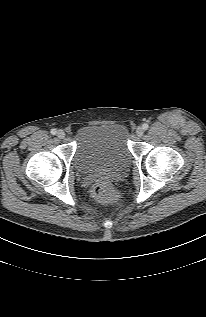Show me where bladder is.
<instances>
[{
  "mask_svg": "<svg viewBox=\"0 0 206 317\" xmlns=\"http://www.w3.org/2000/svg\"><path fill=\"white\" fill-rule=\"evenodd\" d=\"M128 136L121 124L80 127L75 134V169L82 175L125 169L131 160Z\"/></svg>",
  "mask_w": 206,
  "mask_h": 317,
  "instance_id": "31cf9c89",
  "label": "bladder"
}]
</instances>
